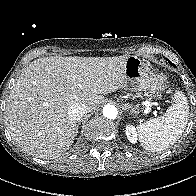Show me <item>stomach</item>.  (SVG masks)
Segmentation results:
<instances>
[{
  "instance_id": "1",
  "label": "stomach",
  "mask_w": 196,
  "mask_h": 196,
  "mask_svg": "<svg viewBox=\"0 0 196 196\" xmlns=\"http://www.w3.org/2000/svg\"><path fill=\"white\" fill-rule=\"evenodd\" d=\"M126 86L131 91H145L151 95L156 94L161 97V92L165 90L167 78L148 61L137 56H129L125 63ZM123 107L130 112L137 114L138 106L125 103Z\"/></svg>"
}]
</instances>
